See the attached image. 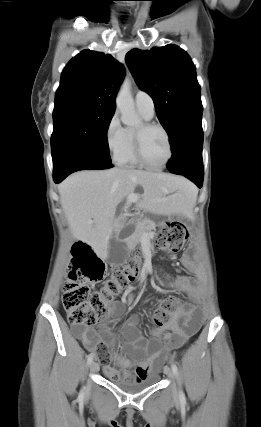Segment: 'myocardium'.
I'll use <instances>...</instances> for the list:
<instances>
[{
    "label": "myocardium",
    "instance_id": "obj_1",
    "mask_svg": "<svg viewBox=\"0 0 261 427\" xmlns=\"http://www.w3.org/2000/svg\"><path fill=\"white\" fill-rule=\"evenodd\" d=\"M152 129H158L160 131L163 132V134L166 137L167 143H168V148H169V155L167 157V159L159 165H153L150 164L144 157L143 154V148H142V133L144 131H148V130H152ZM133 139H134V153H135V157L137 159V161L139 162L140 165L148 168V169H152V170H159V169H163L164 167H166L168 165V163L171 161V159L173 158L174 155V150H173V144L171 141V137L169 132L167 131V129L159 124V123H154V122H145L142 124V130L141 131H134L133 133Z\"/></svg>",
    "mask_w": 261,
    "mask_h": 427
}]
</instances>
